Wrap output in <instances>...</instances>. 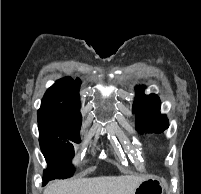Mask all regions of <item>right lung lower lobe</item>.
Here are the masks:
<instances>
[{"label": "right lung lower lobe", "mask_w": 201, "mask_h": 194, "mask_svg": "<svg viewBox=\"0 0 201 194\" xmlns=\"http://www.w3.org/2000/svg\"><path fill=\"white\" fill-rule=\"evenodd\" d=\"M62 153L58 151H50L49 153L44 154V157L49 164V162L52 161H59L62 157ZM51 176L46 175V172H44V177H43V185H45L48 181H50Z\"/></svg>", "instance_id": "1"}]
</instances>
